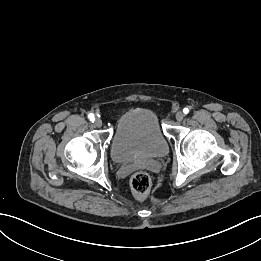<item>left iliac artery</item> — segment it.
I'll use <instances>...</instances> for the list:
<instances>
[{"label":"left iliac artery","instance_id":"obj_1","mask_svg":"<svg viewBox=\"0 0 261 261\" xmlns=\"http://www.w3.org/2000/svg\"><path fill=\"white\" fill-rule=\"evenodd\" d=\"M183 112H184V114H188L189 113V109L188 108H184Z\"/></svg>","mask_w":261,"mask_h":261}]
</instances>
